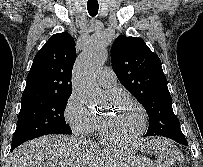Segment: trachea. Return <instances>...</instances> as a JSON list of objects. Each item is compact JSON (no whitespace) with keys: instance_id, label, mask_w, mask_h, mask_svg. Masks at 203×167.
<instances>
[{"instance_id":"obj_1","label":"trachea","mask_w":203,"mask_h":167,"mask_svg":"<svg viewBox=\"0 0 203 167\" xmlns=\"http://www.w3.org/2000/svg\"><path fill=\"white\" fill-rule=\"evenodd\" d=\"M87 9L89 14L94 17L98 13L99 5L98 3H87Z\"/></svg>"}]
</instances>
